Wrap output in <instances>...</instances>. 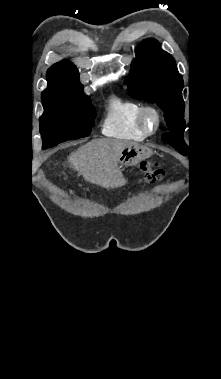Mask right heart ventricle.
Masks as SVG:
<instances>
[{
  "mask_svg": "<svg viewBox=\"0 0 221 379\" xmlns=\"http://www.w3.org/2000/svg\"><path fill=\"white\" fill-rule=\"evenodd\" d=\"M143 106L133 101L113 99L103 122L105 134L129 140H142L146 136L138 124V115Z\"/></svg>",
  "mask_w": 221,
  "mask_h": 379,
  "instance_id": "e07e8e85",
  "label": "right heart ventricle"
}]
</instances>
